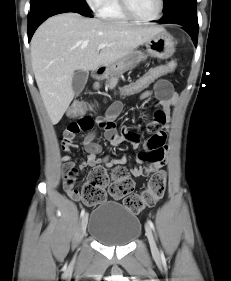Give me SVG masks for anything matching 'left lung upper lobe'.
Listing matches in <instances>:
<instances>
[{
  "instance_id": "1",
  "label": "left lung upper lobe",
  "mask_w": 231,
  "mask_h": 281,
  "mask_svg": "<svg viewBox=\"0 0 231 281\" xmlns=\"http://www.w3.org/2000/svg\"><path fill=\"white\" fill-rule=\"evenodd\" d=\"M185 1H190V0H163L164 2V12L169 10L170 8L174 7L176 4L185 2Z\"/></svg>"
}]
</instances>
